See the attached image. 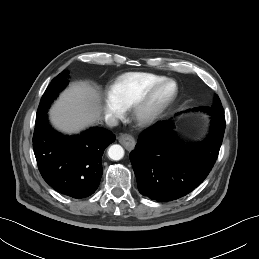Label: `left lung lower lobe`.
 Masks as SVG:
<instances>
[{
    "label": "left lung lower lobe",
    "mask_w": 259,
    "mask_h": 259,
    "mask_svg": "<svg viewBox=\"0 0 259 259\" xmlns=\"http://www.w3.org/2000/svg\"><path fill=\"white\" fill-rule=\"evenodd\" d=\"M211 115V130L203 142L183 147L169 121L142 132L130 153L139 192L152 200L171 201L193 191L207 177L219 154L225 116Z\"/></svg>",
    "instance_id": "left-lung-lower-lobe-1"
}]
</instances>
